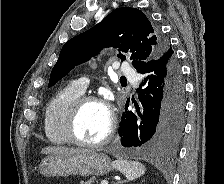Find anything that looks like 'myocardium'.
Instances as JSON below:
<instances>
[{
    "label": "myocardium",
    "mask_w": 224,
    "mask_h": 184,
    "mask_svg": "<svg viewBox=\"0 0 224 184\" xmlns=\"http://www.w3.org/2000/svg\"><path fill=\"white\" fill-rule=\"evenodd\" d=\"M90 103L100 104L106 108L109 115V126L107 134L99 141L87 142L81 140L77 135V121L82 109ZM117 127V116L113 106L108 100L100 96L81 95L78 97L69 109L66 120V135L69 142L86 148H98L107 144L114 136Z\"/></svg>",
    "instance_id": "myocardium-1"
}]
</instances>
